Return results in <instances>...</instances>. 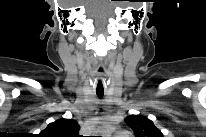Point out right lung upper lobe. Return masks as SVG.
<instances>
[{
    "mask_svg": "<svg viewBox=\"0 0 206 137\" xmlns=\"http://www.w3.org/2000/svg\"><path fill=\"white\" fill-rule=\"evenodd\" d=\"M79 128L76 120L59 119L50 123L40 134L43 137H77Z\"/></svg>",
    "mask_w": 206,
    "mask_h": 137,
    "instance_id": "obj_1",
    "label": "right lung upper lobe"
}]
</instances>
